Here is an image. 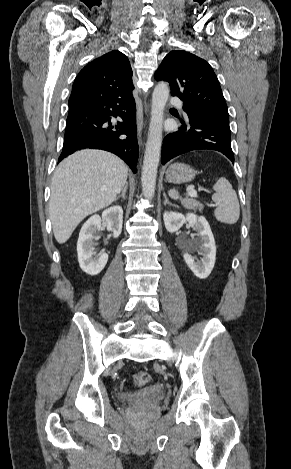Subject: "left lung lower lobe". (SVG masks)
<instances>
[{
  "label": "left lung lower lobe",
  "instance_id": "0a47b994",
  "mask_svg": "<svg viewBox=\"0 0 291 469\" xmlns=\"http://www.w3.org/2000/svg\"><path fill=\"white\" fill-rule=\"evenodd\" d=\"M183 108L187 116L185 120L181 119V127L163 140L162 164L182 153L198 149L219 151L234 162L229 121Z\"/></svg>",
  "mask_w": 291,
  "mask_h": 469
}]
</instances>
